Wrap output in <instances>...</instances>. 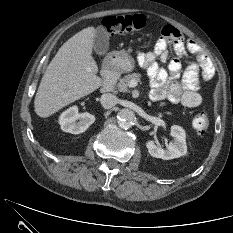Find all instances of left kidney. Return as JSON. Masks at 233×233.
<instances>
[{
	"instance_id": "1",
	"label": "left kidney",
	"mask_w": 233,
	"mask_h": 233,
	"mask_svg": "<svg viewBox=\"0 0 233 233\" xmlns=\"http://www.w3.org/2000/svg\"><path fill=\"white\" fill-rule=\"evenodd\" d=\"M170 135L174 140L169 143L166 149L158 147L153 140H149L146 143L149 154L155 158L164 160L184 156L187 153L186 134L184 129L178 125H173L171 126Z\"/></svg>"
}]
</instances>
